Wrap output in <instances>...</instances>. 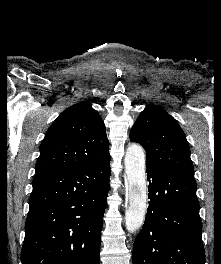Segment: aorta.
<instances>
[{
  "instance_id": "762f6f07",
  "label": "aorta",
  "mask_w": 221,
  "mask_h": 264,
  "mask_svg": "<svg viewBox=\"0 0 221 264\" xmlns=\"http://www.w3.org/2000/svg\"><path fill=\"white\" fill-rule=\"evenodd\" d=\"M126 196L128 208L125 224L130 233L141 228L147 210V186L145 180V152L137 144H131L125 154Z\"/></svg>"
}]
</instances>
